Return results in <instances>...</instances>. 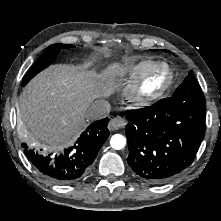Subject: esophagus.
<instances>
[{
  "instance_id": "34e87169",
  "label": "esophagus",
  "mask_w": 221,
  "mask_h": 221,
  "mask_svg": "<svg viewBox=\"0 0 221 221\" xmlns=\"http://www.w3.org/2000/svg\"><path fill=\"white\" fill-rule=\"evenodd\" d=\"M125 125H126L125 119L118 116V117H115V118L110 120L108 128L111 131H114V130H119V129L123 128Z\"/></svg>"
}]
</instances>
